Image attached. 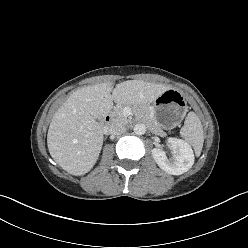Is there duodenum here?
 Segmentation results:
<instances>
[{
    "mask_svg": "<svg viewBox=\"0 0 248 248\" xmlns=\"http://www.w3.org/2000/svg\"><path fill=\"white\" fill-rule=\"evenodd\" d=\"M103 121L105 124H108L111 121V115L108 113L104 116Z\"/></svg>",
    "mask_w": 248,
    "mask_h": 248,
    "instance_id": "410a0bca",
    "label": "duodenum"
}]
</instances>
